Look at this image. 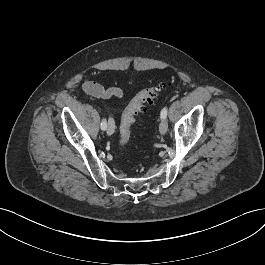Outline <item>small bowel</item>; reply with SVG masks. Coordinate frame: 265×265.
I'll list each match as a JSON object with an SVG mask.
<instances>
[{
	"label": "small bowel",
	"instance_id": "c3829d8e",
	"mask_svg": "<svg viewBox=\"0 0 265 265\" xmlns=\"http://www.w3.org/2000/svg\"><path fill=\"white\" fill-rule=\"evenodd\" d=\"M82 89L85 93L98 99H122L124 97V92L119 87H108L105 88L97 82L91 80H85L82 83Z\"/></svg>",
	"mask_w": 265,
	"mask_h": 265
}]
</instances>
